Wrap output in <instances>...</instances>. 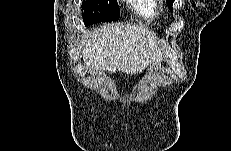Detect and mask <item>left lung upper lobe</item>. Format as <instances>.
Returning <instances> with one entry per match:
<instances>
[{
    "label": "left lung upper lobe",
    "instance_id": "1",
    "mask_svg": "<svg viewBox=\"0 0 231 151\" xmlns=\"http://www.w3.org/2000/svg\"><path fill=\"white\" fill-rule=\"evenodd\" d=\"M166 1H167V3H168L169 9L172 11V10H173L172 5H173L174 0H166Z\"/></svg>",
    "mask_w": 231,
    "mask_h": 151
}]
</instances>
